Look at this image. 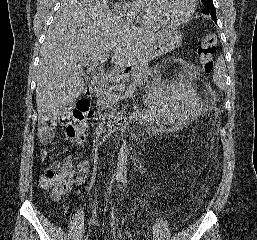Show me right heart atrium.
I'll return each mask as SVG.
<instances>
[{"instance_id":"right-heart-atrium-1","label":"right heart atrium","mask_w":257,"mask_h":240,"mask_svg":"<svg viewBox=\"0 0 257 240\" xmlns=\"http://www.w3.org/2000/svg\"><path fill=\"white\" fill-rule=\"evenodd\" d=\"M130 0H116L114 7L115 10L125 19L127 20H133V11L128 5V2Z\"/></svg>"}]
</instances>
